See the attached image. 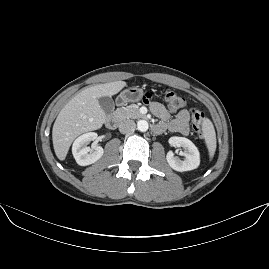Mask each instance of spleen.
Returning <instances> with one entry per match:
<instances>
[{
  "instance_id": "1",
  "label": "spleen",
  "mask_w": 269,
  "mask_h": 269,
  "mask_svg": "<svg viewBox=\"0 0 269 269\" xmlns=\"http://www.w3.org/2000/svg\"><path fill=\"white\" fill-rule=\"evenodd\" d=\"M202 132L209 151V157L212 159L216 150V134L214 126L208 118H205L202 122Z\"/></svg>"
}]
</instances>
